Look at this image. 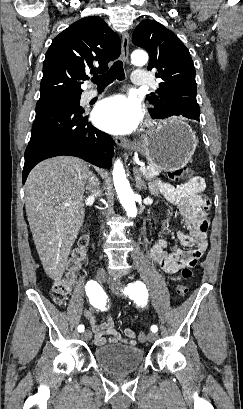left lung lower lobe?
Masks as SVG:
<instances>
[{"label":"left lung lower lobe","instance_id":"1","mask_svg":"<svg viewBox=\"0 0 243 409\" xmlns=\"http://www.w3.org/2000/svg\"><path fill=\"white\" fill-rule=\"evenodd\" d=\"M199 114L200 113H189V114H185V115H182V116L186 117V118H189V119H195V120L199 121ZM172 115H181V113L178 110H171V111L167 112V117L172 116ZM154 118H157V117H154Z\"/></svg>","mask_w":243,"mask_h":409}]
</instances>
